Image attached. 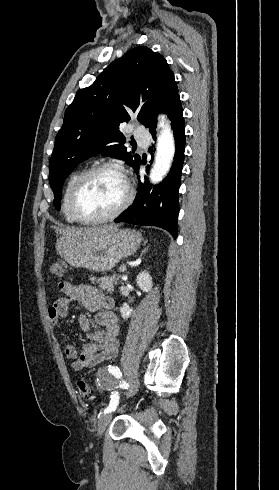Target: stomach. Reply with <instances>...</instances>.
<instances>
[{
  "mask_svg": "<svg viewBox=\"0 0 279 490\" xmlns=\"http://www.w3.org/2000/svg\"><path fill=\"white\" fill-rule=\"evenodd\" d=\"M143 238L134 230H109L106 234H93L72 240L61 236L56 242V252L72 268H86L90 272L106 274L116 264L133 256Z\"/></svg>",
  "mask_w": 279,
  "mask_h": 490,
  "instance_id": "stomach-1",
  "label": "stomach"
}]
</instances>
